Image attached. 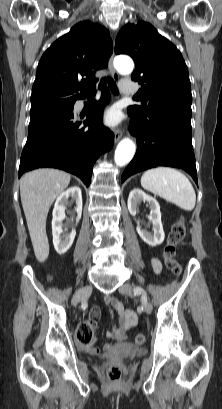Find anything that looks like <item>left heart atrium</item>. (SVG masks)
Listing matches in <instances>:
<instances>
[{"label": "left heart atrium", "instance_id": "1", "mask_svg": "<svg viewBox=\"0 0 222 409\" xmlns=\"http://www.w3.org/2000/svg\"><path fill=\"white\" fill-rule=\"evenodd\" d=\"M104 122L108 126H115L119 123V115L118 112L115 109H110L107 111L104 117Z\"/></svg>", "mask_w": 222, "mask_h": 409}]
</instances>
